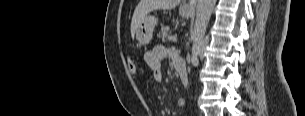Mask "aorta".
Here are the masks:
<instances>
[{
  "mask_svg": "<svg viewBox=\"0 0 305 116\" xmlns=\"http://www.w3.org/2000/svg\"><path fill=\"white\" fill-rule=\"evenodd\" d=\"M216 4V0H197L196 6V20L193 34V46L191 54V63L196 65L198 63V56L200 54V47L206 33V29Z\"/></svg>",
  "mask_w": 305,
  "mask_h": 116,
  "instance_id": "762f6f07",
  "label": "aorta"
}]
</instances>
